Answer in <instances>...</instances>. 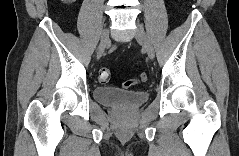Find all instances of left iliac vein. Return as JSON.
I'll use <instances>...</instances> for the list:
<instances>
[{
  "mask_svg": "<svg viewBox=\"0 0 239 156\" xmlns=\"http://www.w3.org/2000/svg\"><path fill=\"white\" fill-rule=\"evenodd\" d=\"M135 38L143 46L148 57L152 60L155 56L154 48L149 38L147 37L144 31V28L140 24H137V28L135 31Z\"/></svg>",
  "mask_w": 239,
  "mask_h": 156,
  "instance_id": "4c4485c4",
  "label": "left iliac vein"
}]
</instances>
